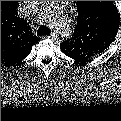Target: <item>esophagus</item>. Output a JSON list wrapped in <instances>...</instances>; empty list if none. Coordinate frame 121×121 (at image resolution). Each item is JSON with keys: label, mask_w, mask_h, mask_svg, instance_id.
<instances>
[{"label": "esophagus", "mask_w": 121, "mask_h": 121, "mask_svg": "<svg viewBox=\"0 0 121 121\" xmlns=\"http://www.w3.org/2000/svg\"><path fill=\"white\" fill-rule=\"evenodd\" d=\"M51 36H52V37H55V33H52Z\"/></svg>", "instance_id": "1"}]
</instances>
